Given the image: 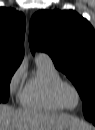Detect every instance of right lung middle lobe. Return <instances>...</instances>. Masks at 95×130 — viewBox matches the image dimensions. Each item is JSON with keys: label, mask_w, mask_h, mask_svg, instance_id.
Returning <instances> with one entry per match:
<instances>
[{"label": "right lung middle lobe", "mask_w": 95, "mask_h": 130, "mask_svg": "<svg viewBox=\"0 0 95 130\" xmlns=\"http://www.w3.org/2000/svg\"><path fill=\"white\" fill-rule=\"evenodd\" d=\"M16 69L17 66H0V102L9 99V83Z\"/></svg>", "instance_id": "1"}]
</instances>
